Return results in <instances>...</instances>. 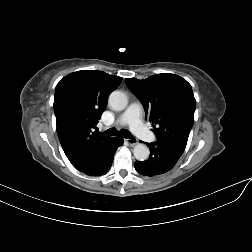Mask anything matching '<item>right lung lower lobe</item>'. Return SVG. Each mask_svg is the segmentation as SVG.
<instances>
[{
    "label": "right lung lower lobe",
    "instance_id": "obj_1",
    "mask_svg": "<svg viewBox=\"0 0 252 252\" xmlns=\"http://www.w3.org/2000/svg\"><path fill=\"white\" fill-rule=\"evenodd\" d=\"M122 144V138H111L99 150L95 158L87 161L85 164L76 169L91 176L105 175L111 168L115 151Z\"/></svg>",
    "mask_w": 252,
    "mask_h": 252
}]
</instances>
